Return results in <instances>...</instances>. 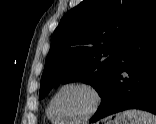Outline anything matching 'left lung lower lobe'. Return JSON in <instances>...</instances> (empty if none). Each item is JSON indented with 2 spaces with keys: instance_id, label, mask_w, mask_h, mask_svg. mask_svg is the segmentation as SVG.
I'll list each match as a JSON object with an SVG mask.
<instances>
[{
  "instance_id": "0a47b994",
  "label": "left lung lower lobe",
  "mask_w": 156,
  "mask_h": 124,
  "mask_svg": "<svg viewBox=\"0 0 156 124\" xmlns=\"http://www.w3.org/2000/svg\"><path fill=\"white\" fill-rule=\"evenodd\" d=\"M127 109L156 115V5L126 44L90 123Z\"/></svg>"
}]
</instances>
